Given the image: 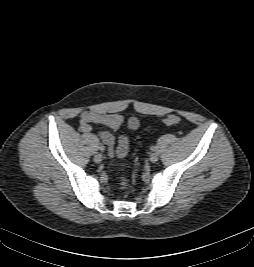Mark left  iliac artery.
<instances>
[{
  "label": "left iliac artery",
  "instance_id": "obj_1",
  "mask_svg": "<svg viewBox=\"0 0 254 267\" xmlns=\"http://www.w3.org/2000/svg\"><path fill=\"white\" fill-rule=\"evenodd\" d=\"M151 150H152V151H155V150H156V147H155V146H152V147H151Z\"/></svg>",
  "mask_w": 254,
  "mask_h": 267
}]
</instances>
